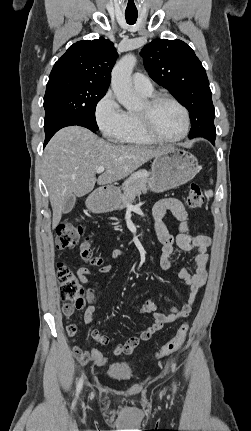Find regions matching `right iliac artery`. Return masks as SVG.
I'll list each match as a JSON object with an SVG mask.
<instances>
[{"label": "right iliac artery", "mask_w": 251, "mask_h": 431, "mask_svg": "<svg viewBox=\"0 0 251 431\" xmlns=\"http://www.w3.org/2000/svg\"><path fill=\"white\" fill-rule=\"evenodd\" d=\"M82 384H83V378L81 377L80 380H79V382H78V385H77L76 395L79 394V392H80V390L82 388Z\"/></svg>", "instance_id": "right-iliac-artery-1"}]
</instances>
